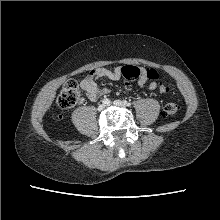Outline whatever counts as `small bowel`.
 I'll use <instances>...</instances> for the list:
<instances>
[{
  "label": "small bowel",
  "instance_id": "obj_1",
  "mask_svg": "<svg viewBox=\"0 0 220 220\" xmlns=\"http://www.w3.org/2000/svg\"><path fill=\"white\" fill-rule=\"evenodd\" d=\"M149 69H142L141 76L139 79V85L141 87L147 88L148 90H155L158 86L157 82L150 81L148 76ZM121 77L120 67L113 69L110 68H97L92 70L89 75H87L80 83L82 90L85 93V96L90 101H96L100 96L105 95L109 92L107 88H100L97 84V81L101 78H106L109 80H119Z\"/></svg>",
  "mask_w": 220,
  "mask_h": 220
}]
</instances>
